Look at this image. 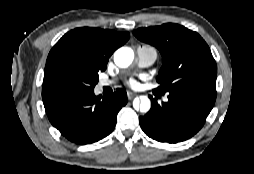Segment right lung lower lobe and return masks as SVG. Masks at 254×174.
I'll return each mask as SVG.
<instances>
[{"mask_svg":"<svg viewBox=\"0 0 254 174\" xmlns=\"http://www.w3.org/2000/svg\"><path fill=\"white\" fill-rule=\"evenodd\" d=\"M51 124L73 143L96 142L112 132L119 110L127 103L125 90L108 98L93 91L68 93L43 100Z\"/></svg>","mask_w":254,"mask_h":174,"instance_id":"right-lung-lower-lobe-1","label":"right lung lower lobe"}]
</instances>
